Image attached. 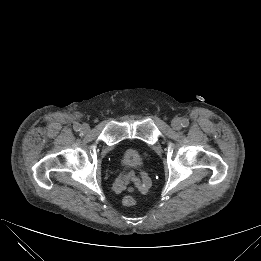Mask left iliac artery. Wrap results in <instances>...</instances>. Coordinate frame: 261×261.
<instances>
[{"instance_id":"obj_1","label":"left iliac artery","mask_w":261,"mask_h":261,"mask_svg":"<svg viewBox=\"0 0 261 261\" xmlns=\"http://www.w3.org/2000/svg\"><path fill=\"white\" fill-rule=\"evenodd\" d=\"M181 125L183 127H187L189 125V120L188 119H183Z\"/></svg>"}]
</instances>
